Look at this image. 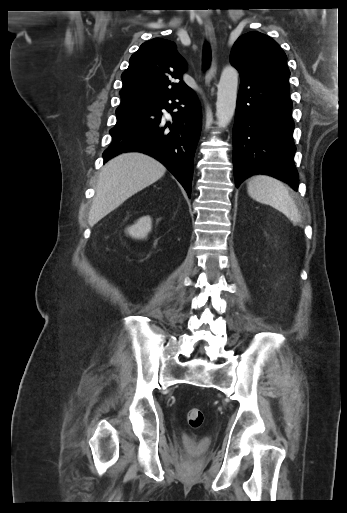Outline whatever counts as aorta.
I'll return each instance as SVG.
<instances>
[{"instance_id": "aorta-1", "label": "aorta", "mask_w": 347, "mask_h": 513, "mask_svg": "<svg viewBox=\"0 0 347 513\" xmlns=\"http://www.w3.org/2000/svg\"><path fill=\"white\" fill-rule=\"evenodd\" d=\"M238 72L226 66L220 77L217 91L216 117L218 126L225 128L232 120L237 100Z\"/></svg>"}]
</instances>
